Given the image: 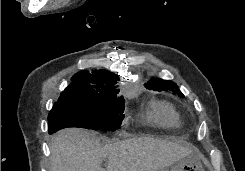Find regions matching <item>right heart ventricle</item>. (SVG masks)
<instances>
[{
	"instance_id": "e07e8e85",
	"label": "right heart ventricle",
	"mask_w": 245,
	"mask_h": 171,
	"mask_svg": "<svg viewBox=\"0 0 245 171\" xmlns=\"http://www.w3.org/2000/svg\"><path fill=\"white\" fill-rule=\"evenodd\" d=\"M143 119L148 125L160 128H174L180 125V117L175 108L170 103L158 99L148 101Z\"/></svg>"
}]
</instances>
